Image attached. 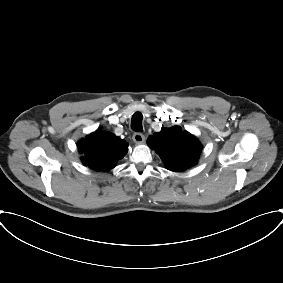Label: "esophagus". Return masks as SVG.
I'll use <instances>...</instances> for the list:
<instances>
[{
	"mask_svg": "<svg viewBox=\"0 0 283 283\" xmlns=\"http://www.w3.org/2000/svg\"><path fill=\"white\" fill-rule=\"evenodd\" d=\"M132 139L135 143L140 144L145 141V136L140 132H136L133 134Z\"/></svg>",
	"mask_w": 283,
	"mask_h": 283,
	"instance_id": "1",
	"label": "esophagus"
}]
</instances>
